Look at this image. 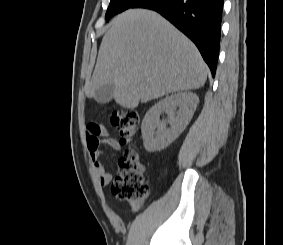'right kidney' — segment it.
I'll return each instance as SVG.
<instances>
[{
    "label": "right kidney",
    "instance_id": "1",
    "mask_svg": "<svg viewBox=\"0 0 283 245\" xmlns=\"http://www.w3.org/2000/svg\"><path fill=\"white\" fill-rule=\"evenodd\" d=\"M199 98L192 92L166 96L146 113L141 126L144 147L148 152L160 151L169 146L183 132L193 117ZM167 120H160L162 113ZM170 127L167 129L166 124Z\"/></svg>",
    "mask_w": 283,
    "mask_h": 245
}]
</instances>
